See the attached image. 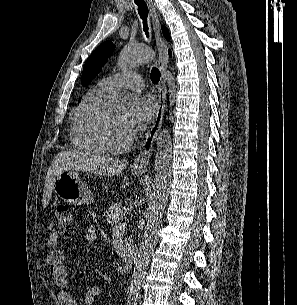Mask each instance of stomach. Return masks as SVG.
Wrapping results in <instances>:
<instances>
[{
	"mask_svg": "<svg viewBox=\"0 0 297 305\" xmlns=\"http://www.w3.org/2000/svg\"><path fill=\"white\" fill-rule=\"evenodd\" d=\"M133 173L139 175L141 171L133 170ZM80 175V171L75 170L61 172L54 180V193L73 205H89L93 203V194Z\"/></svg>",
	"mask_w": 297,
	"mask_h": 305,
	"instance_id": "1",
	"label": "stomach"
}]
</instances>
